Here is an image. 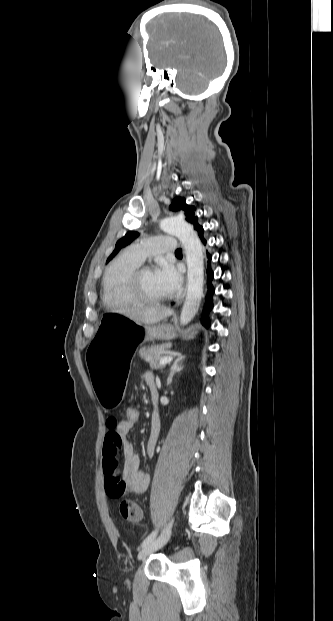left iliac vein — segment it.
<instances>
[{"label": "left iliac vein", "mask_w": 333, "mask_h": 621, "mask_svg": "<svg viewBox=\"0 0 333 621\" xmlns=\"http://www.w3.org/2000/svg\"><path fill=\"white\" fill-rule=\"evenodd\" d=\"M173 522H174V519H171L169 523L167 524V526L162 531V533L160 534V536L142 548V550L138 554L139 560L146 559L150 554L159 550L168 542L171 536V529H172Z\"/></svg>", "instance_id": "left-iliac-vein-1"}]
</instances>
